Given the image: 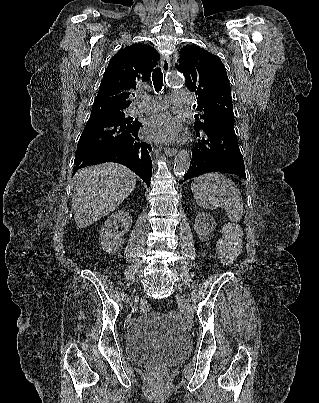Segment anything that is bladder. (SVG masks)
<instances>
[{
	"label": "bladder",
	"mask_w": 319,
	"mask_h": 403,
	"mask_svg": "<svg viewBox=\"0 0 319 403\" xmlns=\"http://www.w3.org/2000/svg\"><path fill=\"white\" fill-rule=\"evenodd\" d=\"M129 361L147 368L164 367L185 359L190 339L170 316L149 312L126 331Z\"/></svg>",
	"instance_id": "31cf9c89"
}]
</instances>
